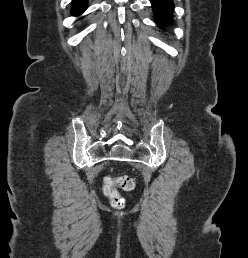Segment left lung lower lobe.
Segmentation results:
<instances>
[{
  "label": "left lung lower lobe",
  "instance_id": "1",
  "mask_svg": "<svg viewBox=\"0 0 248 258\" xmlns=\"http://www.w3.org/2000/svg\"><path fill=\"white\" fill-rule=\"evenodd\" d=\"M155 14V21L163 26L172 20L174 4L172 0H150Z\"/></svg>",
  "mask_w": 248,
  "mask_h": 258
}]
</instances>
